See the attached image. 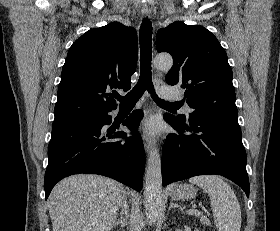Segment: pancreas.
I'll return each instance as SVG.
<instances>
[{"mask_svg":"<svg viewBox=\"0 0 280 231\" xmlns=\"http://www.w3.org/2000/svg\"><path fill=\"white\" fill-rule=\"evenodd\" d=\"M200 221L201 223H203V225H211L208 217H206V215H203V217H200Z\"/></svg>","mask_w":280,"mask_h":231,"instance_id":"pancreas-1","label":"pancreas"}]
</instances>
